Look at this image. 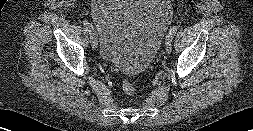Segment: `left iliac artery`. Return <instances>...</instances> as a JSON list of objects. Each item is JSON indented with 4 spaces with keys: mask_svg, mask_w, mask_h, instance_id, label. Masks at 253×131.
Segmentation results:
<instances>
[{
    "mask_svg": "<svg viewBox=\"0 0 253 131\" xmlns=\"http://www.w3.org/2000/svg\"><path fill=\"white\" fill-rule=\"evenodd\" d=\"M177 30H178V26H176V25H175V26H172V27L170 28L168 34L174 36V35L176 34Z\"/></svg>",
    "mask_w": 253,
    "mask_h": 131,
    "instance_id": "obj_1",
    "label": "left iliac artery"
}]
</instances>
